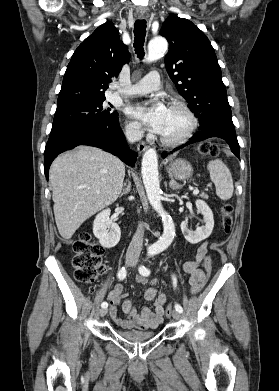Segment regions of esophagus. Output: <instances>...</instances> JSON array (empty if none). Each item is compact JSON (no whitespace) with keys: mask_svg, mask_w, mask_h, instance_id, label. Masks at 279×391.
Instances as JSON below:
<instances>
[{"mask_svg":"<svg viewBox=\"0 0 279 391\" xmlns=\"http://www.w3.org/2000/svg\"><path fill=\"white\" fill-rule=\"evenodd\" d=\"M137 148L140 153H143L148 148V146L145 143L141 142L138 144Z\"/></svg>","mask_w":279,"mask_h":391,"instance_id":"34e87169","label":"esophagus"}]
</instances>
